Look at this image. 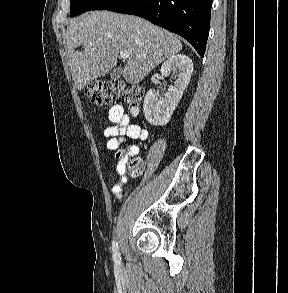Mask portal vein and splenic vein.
Here are the masks:
<instances>
[{
	"instance_id": "portal-vein-and-splenic-vein-1",
	"label": "portal vein and splenic vein",
	"mask_w": 288,
	"mask_h": 293,
	"mask_svg": "<svg viewBox=\"0 0 288 293\" xmlns=\"http://www.w3.org/2000/svg\"><path fill=\"white\" fill-rule=\"evenodd\" d=\"M130 56L129 52L128 51H120V57L122 59H128ZM146 55H141L139 57H145Z\"/></svg>"
}]
</instances>
